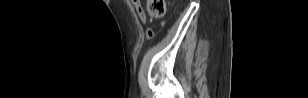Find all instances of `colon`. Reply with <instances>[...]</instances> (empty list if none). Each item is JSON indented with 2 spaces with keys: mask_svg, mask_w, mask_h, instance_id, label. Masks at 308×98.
I'll return each instance as SVG.
<instances>
[{
  "mask_svg": "<svg viewBox=\"0 0 308 98\" xmlns=\"http://www.w3.org/2000/svg\"><path fill=\"white\" fill-rule=\"evenodd\" d=\"M147 10L151 17L161 18L166 12V2L164 0H148ZM149 36H153V32L149 31Z\"/></svg>",
  "mask_w": 308,
  "mask_h": 98,
  "instance_id": "1",
  "label": "colon"
}]
</instances>
